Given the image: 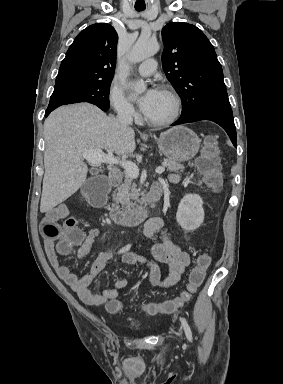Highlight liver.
<instances>
[{"label":"liver","mask_w":283,"mask_h":384,"mask_svg":"<svg viewBox=\"0 0 283 384\" xmlns=\"http://www.w3.org/2000/svg\"><path fill=\"white\" fill-rule=\"evenodd\" d=\"M135 132L93 104L61 106L44 122L45 174L40 212H50L75 194L87 176L86 150H112L126 156L136 150Z\"/></svg>","instance_id":"liver-1"}]
</instances>
